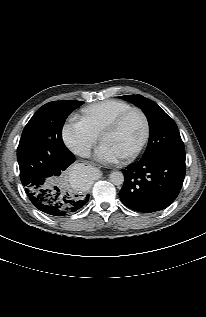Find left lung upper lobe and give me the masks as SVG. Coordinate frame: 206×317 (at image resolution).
<instances>
[{"mask_svg": "<svg viewBox=\"0 0 206 317\" xmlns=\"http://www.w3.org/2000/svg\"><path fill=\"white\" fill-rule=\"evenodd\" d=\"M121 99L140 107L150 128L147 148L142 158L173 157L185 160V149L177 125L155 102L141 95H125Z\"/></svg>", "mask_w": 206, "mask_h": 317, "instance_id": "left-lung-upper-lobe-1", "label": "left lung upper lobe"}]
</instances>
